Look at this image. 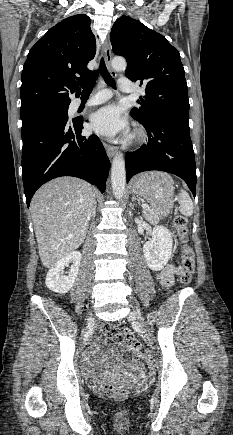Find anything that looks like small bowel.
I'll list each match as a JSON object with an SVG mask.
<instances>
[{
    "label": "small bowel",
    "mask_w": 233,
    "mask_h": 435,
    "mask_svg": "<svg viewBox=\"0 0 233 435\" xmlns=\"http://www.w3.org/2000/svg\"><path fill=\"white\" fill-rule=\"evenodd\" d=\"M176 272L177 269L169 264L157 274V280L163 287L171 289L174 285V274ZM124 349L131 354L132 359L130 361L124 360L114 345L106 340H99L85 355L84 361L89 364L92 373L102 371L142 373L145 370V364L142 362L141 356L129 345H125ZM104 359H112L110 365H104L102 363Z\"/></svg>",
    "instance_id": "1"
}]
</instances>
